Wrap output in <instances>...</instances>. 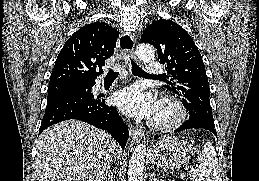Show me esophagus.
I'll return each instance as SVG.
<instances>
[{
  "label": "esophagus",
  "instance_id": "1",
  "mask_svg": "<svg viewBox=\"0 0 259 181\" xmlns=\"http://www.w3.org/2000/svg\"><path fill=\"white\" fill-rule=\"evenodd\" d=\"M119 48L121 52L126 56L134 57V36L129 32H123L120 35ZM130 139L135 143H138L144 138V132L140 129H136L133 125L128 126Z\"/></svg>",
  "mask_w": 259,
  "mask_h": 181
}]
</instances>
